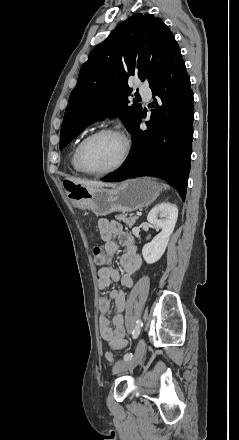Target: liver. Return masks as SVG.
I'll return each instance as SVG.
<instances>
[{
    "mask_svg": "<svg viewBox=\"0 0 239 440\" xmlns=\"http://www.w3.org/2000/svg\"><path fill=\"white\" fill-rule=\"evenodd\" d=\"M70 182L74 184H81L83 188H89V190H96V188H114L116 184H104V182H88V180H80V178H69Z\"/></svg>",
    "mask_w": 239,
    "mask_h": 440,
    "instance_id": "1",
    "label": "liver"
}]
</instances>
